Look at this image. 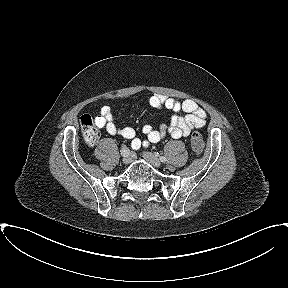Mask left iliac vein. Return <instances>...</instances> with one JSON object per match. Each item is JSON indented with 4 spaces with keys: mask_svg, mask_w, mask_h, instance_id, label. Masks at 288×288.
Listing matches in <instances>:
<instances>
[{
    "mask_svg": "<svg viewBox=\"0 0 288 288\" xmlns=\"http://www.w3.org/2000/svg\"><path fill=\"white\" fill-rule=\"evenodd\" d=\"M143 157L151 163L154 167H160L161 166V160L158 158L156 154H153L151 152H144Z\"/></svg>",
    "mask_w": 288,
    "mask_h": 288,
    "instance_id": "left-iliac-vein-1",
    "label": "left iliac vein"
}]
</instances>
